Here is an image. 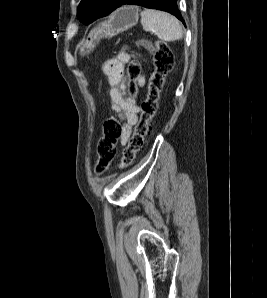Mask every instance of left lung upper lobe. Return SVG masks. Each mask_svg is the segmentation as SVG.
<instances>
[{"instance_id":"1","label":"left lung upper lobe","mask_w":267,"mask_h":298,"mask_svg":"<svg viewBox=\"0 0 267 298\" xmlns=\"http://www.w3.org/2000/svg\"><path fill=\"white\" fill-rule=\"evenodd\" d=\"M114 2L115 0H81L77 16L81 22L86 24L95 19L97 15L108 12Z\"/></svg>"}]
</instances>
